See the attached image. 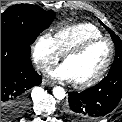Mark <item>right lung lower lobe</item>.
<instances>
[{
	"label": "right lung lower lobe",
	"mask_w": 122,
	"mask_h": 122,
	"mask_svg": "<svg viewBox=\"0 0 122 122\" xmlns=\"http://www.w3.org/2000/svg\"><path fill=\"white\" fill-rule=\"evenodd\" d=\"M30 45L1 36V122H14L28 102V92L42 81L30 60Z\"/></svg>",
	"instance_id": "obj_1"
}]
</instances>
